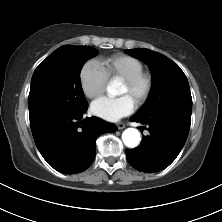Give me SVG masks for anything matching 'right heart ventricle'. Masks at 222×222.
I'll list each match as a JSON object with an SVG mask.
<instances>
[{"mask_svg":"<svg viewBox=\"0 0 222 222\" xmlns=\"http://www.w3.org/2000/svg\"><path fill=\"white\" fill-rule=\"evenodd\" d=\"M99 64L108 78H119L121 80L130 78L143 71L142 62L130 55L114 54L103 58Z\"/></svg>","mask_w":222,"mask_h":222,"instance_id":"right-heart-ventricle-1","label":"right heart ventricle"}]
</instances>
